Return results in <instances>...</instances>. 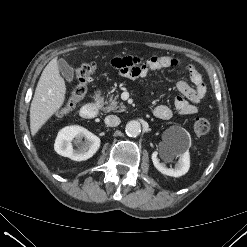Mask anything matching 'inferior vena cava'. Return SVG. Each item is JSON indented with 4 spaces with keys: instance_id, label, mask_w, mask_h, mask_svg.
<instances>
[{
    "instance_id": "inferior-vena-cava-1",
    "label": "inferior vena cava",
    "mask_w": 247,
    "mask_h": 247,
    "mask_svg": "<svg viewBox=\"0 0 247 247\" xmlns=\"http://www.w3.org/2000/svg\"><path fill=\"white\" fill-rule=\"evenodd\" d=\"M105 124L110 126V127H116L120 124V118L117 117L116 115H108L106 118H105Z\"/></svg>"
}]
</instances>
